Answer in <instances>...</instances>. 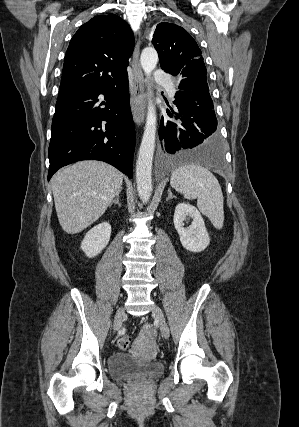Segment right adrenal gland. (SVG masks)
<instances>
[{
  "instance_id": "1",
  "label": "right adrenal gland",
  "mask_w": 299,
  "mask_h": 427,
  "mask_svg": "<svg viewBox=\"0 0 299 427\" xmlns=\"http://www.w3.org/2000/svg\"><path fill=\"white\" fill-rule=\"evenodd\" d=\"M119 194H120V192H118V193L116 194L115 198L112 200V202L110 203V205H109V206H111L113 203L117 204L118 206H121V203H120V201H119Z\"/></svg>"
}]
</instances>
